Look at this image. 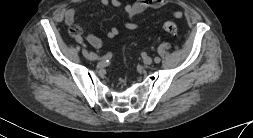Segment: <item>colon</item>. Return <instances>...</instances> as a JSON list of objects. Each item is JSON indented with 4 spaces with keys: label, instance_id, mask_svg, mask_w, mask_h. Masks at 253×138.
I'll return each instance as SVG.
<instances>
[{
    "label": "colon",
    "instance_id": "colon-1",
    "mask_svg": "<svg viewBox=\"0 0 253 138\" xmlns=\"http://www.w3.org/2000/svg\"><path fill=\"white\" fill-rule=\"evenodd\" d=\"M162 27H163V30L170 35L178 34V26L176 23L172 21L163 22ZM70 31L73 35H79L81 32V27L77 24H73Z\"/></svg>",
    "mask_w": 253,
    "mask_h": 138
}]
</instances>
